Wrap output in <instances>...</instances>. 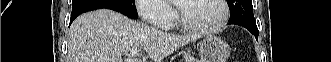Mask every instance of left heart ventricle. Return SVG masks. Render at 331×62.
<instances>
[{"label": "left heart ventricle", "instance_id": "obj_1", "mask_svg": "<svg viewBox=\"0 0 331 62\" xmlns=\"http://www.w3.org/2000/svg\"><path fill=\"white\" fill-rule=\"evenodd\" d=\"M181 9L186 21L194 26L210 28L216 26L223 10L217 0L181 1Z\"/></svg>", "mask_w": 331, "mask_h": 62}]
</instances>
